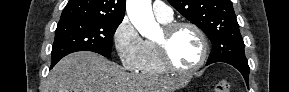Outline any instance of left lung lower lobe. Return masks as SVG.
Returning <instances> with one entry per match:
<instances>
[{"label": "left lung lower lobe", "instance_id": "1", "mask_svg": "<svg viewBox=\"0 0 289 92\" xmlns=\"http://www.w3.org/2000/svg\"><path fill=\"white\" fill-rule=\"evenodd\" d=\"M216 62H224V63H228L230 65H232L233 67H235L237 70H239L241 72V74L243 75L246 84L248 86V77H249V66L247 62H242V61H236V60H219ZM215 62H211L208 63L206 65L212 64Z\"/></svg>", "mask_w": 289, "mask_h": 92}]
</instances>
